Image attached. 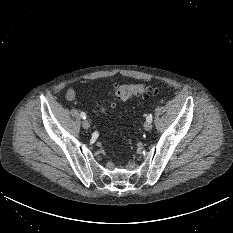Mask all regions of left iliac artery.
I'll use <instances>...</instances> for the list:
<instances>
[{
  "instance_id": "44dca946",
  "label": "left iliac artery",
  "mask_w": 233,
  "mask_h": 233,
  "mask_svg": "<svg viewBox=\"0 0 233 233\" xmlns=\"http://www.w3.org/2000/svg\"><path fill=\"white\" fill-rule=\"evenodd\" d=\"M146 120H147V122H152V115L149 114V115L147 116Z\"/></svg>"
}]
</instances>
